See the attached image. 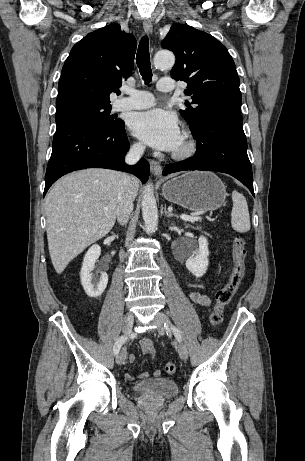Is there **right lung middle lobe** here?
I'll return each instance as SVG.
<instances>
[{
  "instance_id": "right-lung-middle-lobe-1",
  "label": "right lung middle lobe",
  "mask_w": 305,
  "mask_h": 461,
  "mask_svg": "<svg viewBox=\"0 0 305 461\" xmlns=\"http://www.w3.org/2000/svg\"><path fill=\"white\" fill-rule=\"evenodd\" d=\"M109 103H76L56 108V122L61 120H79L90 125L109 128L121 122L110 115Z\"/></svg>"
}]
</instances>
